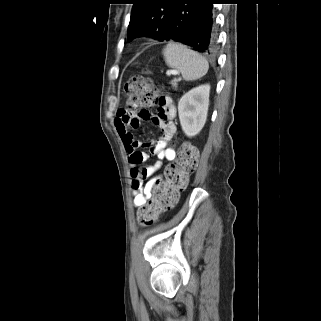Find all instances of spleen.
<instances>
[{
    "label": "spleen",
    "mask_w": 321,
    "mask_h": 321,
    "mask_svg": "<svg viewBox=\"0 0 321 321\" xmlns=\"http://www.w3.org/2000/svg\"><path fill=\"white\" fill-rule=\"evenodd\" d=\"M163 55L167 66L180 71L186 81L197 80L208 72V61L183 44L169 42Z\"/></svg>",
    "instance_id": "spleen-1"
}]
</instances>
